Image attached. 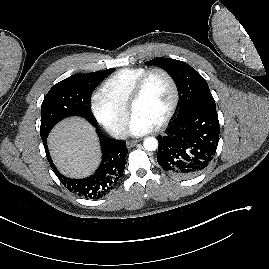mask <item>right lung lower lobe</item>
<instances>
[{"instance_id": "1", "label": "right lung lower lobe", "mask_w": 269, "mask_h": 269, "mask_svg": "<svg viewBox=\"0 0 269 269\" xmlns=\"http://www.w3.org/2000/svg\"><path fill=\"white\" fill-rule=\"evenodd\" d=\"M96 125L93 126L96 127ZM97 134L103 153L102 162L93 175L84 179H71L59 173L50 158L47 139L42 141L48 161L60 181L69 191L90 199H99L105 196L118 183L123 175L126 164L125 157L128 153L125 141L106 138L99 130H97Z\"/></svg>"}]
</instances>
